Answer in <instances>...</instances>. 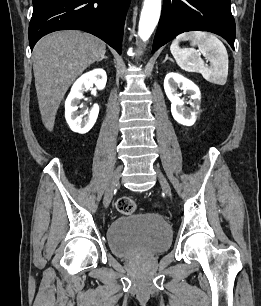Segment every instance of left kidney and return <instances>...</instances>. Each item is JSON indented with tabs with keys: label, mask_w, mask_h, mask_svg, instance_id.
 Wrapping results in <instances>:
<instances>
[{
	"label": "left kidney",
	"mask_w": 261,
	"mask_h": 306,
	"mask_svg": "<svg viewBox=\"0 0 261 306\" xmlns=\"http://www.w3.org/2000/svg\"><path fill=\"white\" fill-rule=\"evenodd\" d=\"M191 94V109L183 107L184 101L179 98L177 89L180 88ZM164 90L171 101L173 118L184 126H192L200 114L201 93L196 84L177 73H169L164 80Z\"/></svg>",
	"instance_id": "left-kidney-1"
}]
</instances>
